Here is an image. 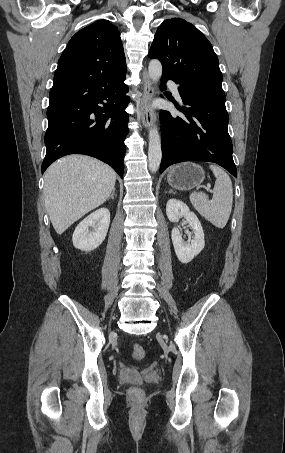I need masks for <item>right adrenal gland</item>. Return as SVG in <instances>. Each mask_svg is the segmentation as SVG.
Here are the masks:
<instances>
[{
    "instance_id": "1",
    "label": "right adrenal gland",
    "mask_w": 285,
    "mask_h": 453,
    "mask_svg": "<svg viewBox=\"0 0 285 453\" xmlns=\"http://www.w3.org/2000/svg\"><path fill=\"white\" fill-rule=\"evenodd\" d=\"M115 190H116L115 188L112 190L111 195L107 198V200H109L110 198L114 199Z\"/></svg>"
}]
</instances>
